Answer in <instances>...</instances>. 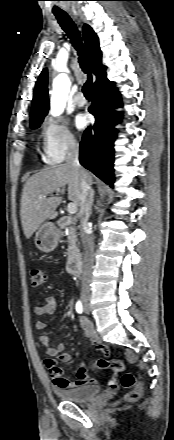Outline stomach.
Returning a JSON list of instances; mask_svg holds the SVG:
<instances>
[{"instance_id":"obj_1","label":"stomach","mask_w":174,"mask_h":440,"mask_svg":"<svg viewBox=\"0 0 174 440\" xmlns=\"http://www.w3.org/2000/svg\"><path fill=\"white\" fill-rule=\"evenodd\" d=\"M60 237L61 232L54 223L46 222L37 230L34 243L40 251L49 253L57 247Z\"/></svg>"}]
</instances>
